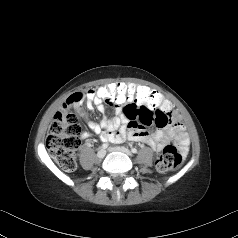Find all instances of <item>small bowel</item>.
<instances>
[{
    "label": "small bowel",
    "instance_id": "c3829d8e",
    "mask_svg": "<svg viewBox=\"0 0 238 238\" xmlns=\"http://www.w3.org/2000/svg\"><path fill=\"white\" fill-rule=\"evenodd\" d=\"M82 96V99L85 98V103L89 110L95 107L100 113L104 114L100 123L89 122L88 124L91 132L99 135L102 141L117 143L130 140L141 142L159 152L172 140H175L182 154L185 155L187 153L190 143L188 134L185 132L178 114L172 110L168 101H165L158 109L149 108L152 113L153 124H145L140 120V112L145 106L111 103L110 105L116 107V116L108 117L105 115V103L99 100V94H96L95 90H88ZM81 101L73 105L81 115H84ZM90 136L91 133L89 132H83L81 135L83 139H87Z\"/></svg>",
    "mask_w": 238,
    "mask_h": 238
}]
</instances>
